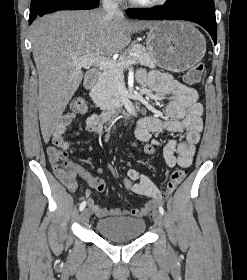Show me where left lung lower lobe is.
Here are the masks:
<instances>
[{
  "mask_svg": "<svg viewBox=\"0 0 247 280\" xmlns=\"http://www.w3.org/2000/svg\"><path fill=\"white\" fill-rule=\"evenodd\" d=\"M127 15L137 19L187 20L204 27L217 42V24L214 0H190L181 4L166 3L154 10H128Z\"/></svg>",
  "mask_w": 247,
  "mask_h": 280,
  "instance_id": "0a47b994",
  "label": "left lung lower lobe"
}]
</instances>
